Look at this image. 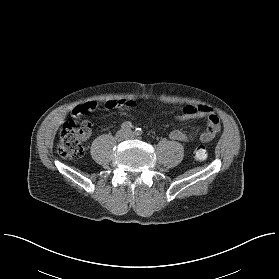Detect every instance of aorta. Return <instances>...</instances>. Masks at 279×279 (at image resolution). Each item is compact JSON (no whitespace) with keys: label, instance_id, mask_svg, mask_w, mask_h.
<instances>
[{"label":"aorta","instance_id":"aorta-1","mask_svg":"<svg viewBox=\"0 0 279 279\" xmlns=\"http://www.w3.org/2000/svg\"><path fill=\"white\" fill-rule=\"evenodd\" d=\"M140 133H141V131H140V130H138V131H137V134L139 135Z\"/></svg>","mask_w":279,"mask_h":279}]
</instances>
